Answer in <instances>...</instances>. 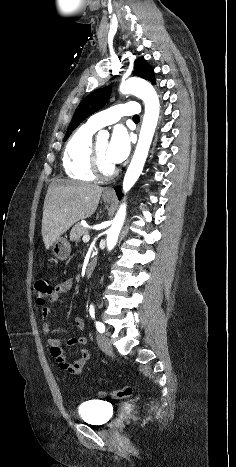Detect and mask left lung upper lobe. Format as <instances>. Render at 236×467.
Wrapping results in <instances>:
<instances>
[{"label":"left lung upper lobe","instance_id":"obj_1","mask_svg":"<svg viewBox=\"0 0 236 467\" xmlns=\"http://www.w3.org/2000/svg\"><path fill=\"white\" fill-rule=\"evenodd\" d=\"M138 77L149 80L155 84L154 72L150 65L143 59L138 58L134 63V72ZM111 93L110 87L99 89L85 97L76 109L75 115L68 127L64 141L68 139L72 131L83 122L88 116L102 108L107 102Z\"/></svg>","mask_w":236,"mask_h":467}]
</instances>
